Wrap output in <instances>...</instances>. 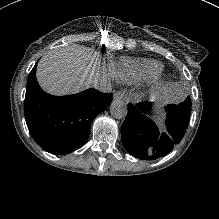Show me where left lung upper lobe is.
I'll list each match as a JSON object with an SVG mask.
<instances>
[{
  "label": "left lung upper lobe",
  "mask_w": 219,
  "mask_h": 219,
  "mask_svg": "<svg viewBox=\"0 0 219 219\" xmlns=\"http://www.w3.org/2000/svg\"><path fill=\"white\" fill-rule=\"evenodd\" d=\"M187 111H191V99L190 97H187L186 100L183 103H180L179 105H177Z\"/></svg>",
  "instance_id": "1"
}]
</instances>
